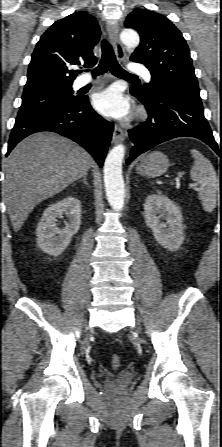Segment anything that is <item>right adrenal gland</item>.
<instances>
[{"mask_svg":"<svg viewBox=\"0 0 222 447\" xmlns=\"http://www.w3.org/2000/svg\"><path fill=\"white\" fill-rule=\"evenodd\" d=\"M80 181H82L85 185H87V186L89 187V183H88V181H87V174L84 175L83 178H82ZM80 181H79V182H80Z\"/></svg>","mask_w":222,"mask_h":447,"instance_id":"right-adrenal-gland-1","label":"right adrenal gland"}]
</instances>
